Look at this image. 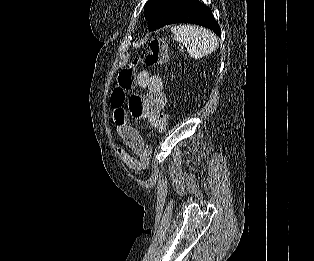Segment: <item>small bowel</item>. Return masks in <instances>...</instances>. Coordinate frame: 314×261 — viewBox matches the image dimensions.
<instances>
[{"mask_svg": "<svg viewBox=\"0 0 314 261\" xmlns=\"http://www.w3.org/2000/svg\"><path fill=\"white\" fill-rule=\"evenodd\" d=\"M137 84L147 91L145 96L135 95L129 99L128 107L124 102H113L114 123L117 133L131 154L124 149L119 150V157L125 166L135 172L143 171L150 162L151 148L146 145L140 132L131 124V118L146 120L157 127L159 116L166 104V96L163 91L164 83L159 75L152 74L148 70H141L137 74Z\"/></svg>", "mask_w": 314, "mask_h": 261, "instance_id": "1", "label": "small bowel"}]
</instances>
